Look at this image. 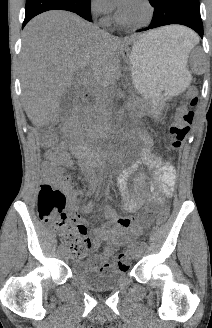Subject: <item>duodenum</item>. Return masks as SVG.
I'll return each mask as SVG.
<instances>
[{"label":"duodenum","instance_id":"obj_1","mask_svg":"<svg viewBox=\"0 0 212 328\" xmlns=\"http://www.w3.org/2000/svg\"><path fill=\"white\" fill-rule=\"evenodd\" d=\"M83 96L85 98H89L92 96V93L88 89H84ZM77 113V110L72 111V113L63 121V130L71 137L72 150L78 159L81 160L82 168L87 173H90V164L96 160L93 156L92 147L75 132V119L77 117ZM101 159L102 157L97 161H100Z\"/></svg>","mask_w":212,"mask_h":328}]
</instances>
